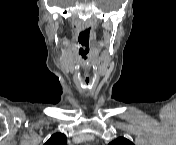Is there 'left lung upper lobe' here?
Returning a JSON list of instances; mask_svg holds the SVG:
<instances>
[{"instance_id": "obj_1", "label": "left lung upper lobe", "mask_w": 176, "mask_h": 145, "mask_svg": "<svg viewBox=\"0 0 176 145\" xmlns=\"http://www.w3.org/2000/svg\"><path fill=\"white\" fill-rule=\"evenodd\" d=\"M110 145H133V143L126 138L119 137L116 140L112 141Z\"/></svg>"}]
</instances>
